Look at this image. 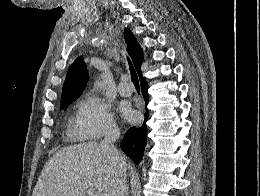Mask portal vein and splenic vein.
<instances>
[{
    "instance_id": "obj_1",
    "label": "portal vein and splenic vein",
    "mask_w": 260,
    "mask_h": 196,
    "mask_svg": "<svg viewBox=\"0 0 260 196\" xmlns=\"http://www.w3.org/2000/svg\"><path fill=\"white\" fill-rule=\"evenodd\" d=\"M87 194L88 196H100L99 192H96V190H92V188H88Z\"/></svg>"
}]
</instances>
